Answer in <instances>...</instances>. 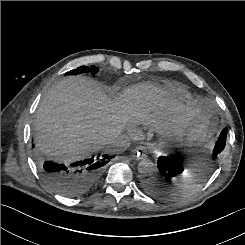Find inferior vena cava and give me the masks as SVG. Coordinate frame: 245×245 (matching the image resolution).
I'll list each match as a JSON object with an SVG mask.
<instances>
[{
    "instance_id": "1",
    "label": "inferior vena cava",
    "mask_w": 245,
    "mask_h": 245,
    "mask_svg": "<svg viewBox=\"0 0 245 245\" xmlns=\"http://www.w3.org/2000/svg\"><path fill=\"white\" fill-rule=\"evenodd\" d=\"M108 148L114 153H120L125 151L130 145L131 140L126 135L117 136L115 139L109 141Z\"/></svg>"
}]
</instances>
